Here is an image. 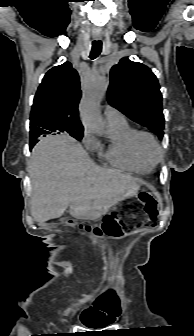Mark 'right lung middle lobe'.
Here are the masks:
<instances>
[{
  "label": "right lung middle lobe",
  "mask_w": 194,
  "mask_h": 336,
  "mask_svg": "<svg viewBox=\"0 0 194 336\" xmlns=\"http://www.w3.org/2000/svg\"><path fill=\"white\" fill-rule=\"evenodd\" d=\"M69 135H71L72 137L76 138L77 140H81L82 136H83V132L82 131H73V132H68Z\"/></svg>",
  "instance_id": "right-lung-middle-lobe-1"
}]
</instances>
